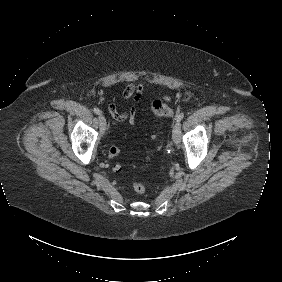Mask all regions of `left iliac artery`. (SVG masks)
<instances>
[{
	"label": "left iliac artery",
	"mask_w": 282,
	"mask_h": 282,
	"mask_svg": "<svg viewBox=\"0 0 282 282\" xmlns=\"http://www.w3.org/2000/svg\"><path fill=\"white\" fill-rule=\"evenodd\" d=\"M184 117V113H180L176 119V122H180Z\"/></svg>",
	"instance_id": "44dca946"
}]
</instances>
